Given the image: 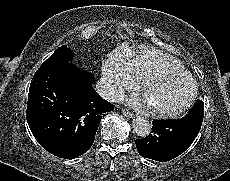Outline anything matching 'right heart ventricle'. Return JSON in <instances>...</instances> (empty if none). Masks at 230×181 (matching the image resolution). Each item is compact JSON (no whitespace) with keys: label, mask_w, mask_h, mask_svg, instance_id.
Here are the masks:
<instances>
[{"label":"right heart ventricle","mask_w":230,"mask_h":181,"mask_svg":"<svg viewBox=\"0 0 230 181\" xmlns=\"http://www.w3.org/2000/svg\"><path fill=\"white\" fill-rule=\"evenodd\" d=\"M108 59L113 66L128 70L140 79L157 71L184 70L179 61L146 45L122 44L112 51Z\"/></svg>","instance_id":"e07e8e85"}]
</instances>
